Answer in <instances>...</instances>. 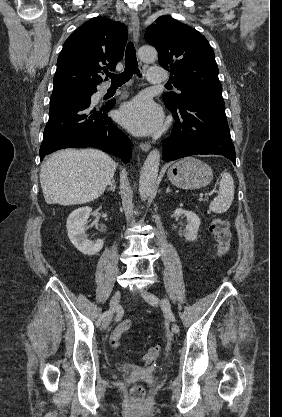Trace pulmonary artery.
<instances>
[{"instance_id":"pulmonary-artery-1","label":"pulmonary artery","mask_w":282,"mask_h":417,"mask_svg":"<svg viewBox=\"0 0 282 417\" xmlns=\"http://www.w3.org/2000/svg\"><path fill=\"white\" fill-rule=\"evenodd\" d=\"M150 74L147 76L148 83H166L168 76L163 74V65H150L148 68Z\"/></svg>"}]
</instances>
